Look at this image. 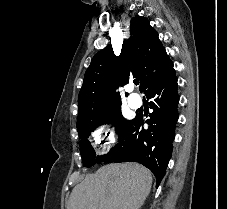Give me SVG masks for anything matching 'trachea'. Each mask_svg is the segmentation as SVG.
Returning a JSON list of instances; mask_svg holds the SVG:
<instances>
[{
    "label": "trachea",
    "mask_w": 227,
    "mask_h": 209,
    "mask_svg": "<svg viewBox=\"0 0 227 209\" xmlns=\"http://www.w3.org/2000/svg\"><path fill=\"white\" fill-rule=\"evenodd\" d=\"M135 85H139V80H134Z\"/></svg>",
    "instance_id": "1"
}]
</instances>
